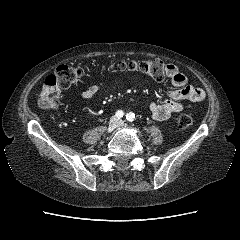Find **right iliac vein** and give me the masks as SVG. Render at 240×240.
<instances>
[{
    "label": "right iliac vein",
    "instance_id": "63e3f726",
    "mask_svg": "<svg viewBox=\"0 0 240 240\" xmlns=\"http://www.w3.org/2000/svg\"><path fill=\"white\" fill-rule=\"evenodd\" d=\"M119 126V121L116 117H112L109 121L108 127H107V133H111Z\"/></svg>",
    "mask_w": 240,
    "mask_h": 240
}]
</instances>
